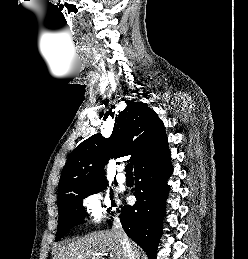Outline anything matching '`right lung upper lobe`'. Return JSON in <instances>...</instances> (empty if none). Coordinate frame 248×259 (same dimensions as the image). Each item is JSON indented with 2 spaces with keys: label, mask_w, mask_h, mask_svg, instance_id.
<instances>
[{
  "label": "right lung upper lobe",
  "mask_w": 248,
  "mask_h": 259,
  "mask_svg": "<svg viewBox=\"0 0 248 259\" xmlns=\"http://www.w3.org/2000/svg\"><path fill=\"white\" fill-rule=\"evenodd\" d=\"M168 151L165 127L157 114L142 102L128 101L108 139L95 134L70 154L61 175L58 197L105 182L103 166L110 158L131 155L136 169Z\"/></svg>",
  "instance_id": "cb5924a9"
}]
</instances>
